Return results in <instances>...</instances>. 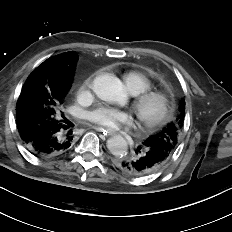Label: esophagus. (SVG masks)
<instances>
[{"instance_id": "esophagus-1", "label": "esophagus", "mask_w": 232, "mask_h": 232, "mask_svg": "<svg viewBox=\"0 0 232 232\" xmlns=\"http://www.w3.org/2000/svg\"><path fill=\"white\" fill-rule=\"evenodd\" d=\"M93 128L96 131L103 133L104 136H110V135L114 134V132H112V131H110L108 129L106 130V129L102 128V127L94 126Z\"/></svg>"}]
</instances>
